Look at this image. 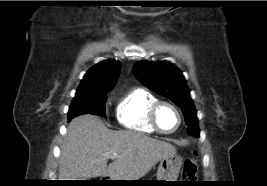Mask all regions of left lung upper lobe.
<instances>
[{"label": "left lung upper lobe", "instance_id": "obj_1", "mask_svg": "<svg viewBox=\"0 0 267 186\" xmlns=\"http://www.w3.org/2000/svg\"><path fill=\"white\" fill-rule=\"evenodd\" d=\"M135 76L147 87L172 100L183 112L187 132L199 137L196 109L182 72L172 63L140 62L133 68Z\"/></svg>", "mask_w": 267, "mask_h": 186}]
</instances>
